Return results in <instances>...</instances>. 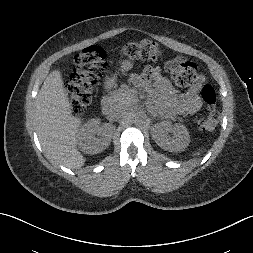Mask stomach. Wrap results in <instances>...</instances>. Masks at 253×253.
<instances>
[{
	"mask_svg": "<svg viewBox=\"0 0 253 253\" xmlns=\"http://www.w3.org/2000/svg\"><path fill=\"white\" fill-rule=\"evenodd\" d=\"M133 68V62L130 60H123L120 63V71L122 74H125V72L130 71Z\"/></svg>",
	"mask_w": 253,
	"mask_h": 253,
	"instance_id": "0dacf381",
	"label": "stomach"
}]
</instances>
